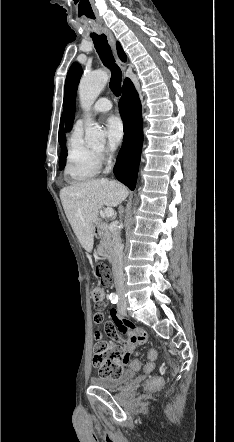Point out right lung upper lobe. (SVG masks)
<instances>
[{"label":"right lung upper lobe","mask_w":234,"mask_h":442,"mask_svg":"<svg viewBox=\"0 0 234 442\" xmlns=\"http://www.w3.org/2000/svg\"><path fill=\"white\" fill-rule=\"evenodd\" d=\"M117 52H118L120 59L122 61H126V54L124 53V51L119 43H117ZM59 143H60L61 147L65 146V136L63 134V121H62V119H61L60 128H59Z\"/></svg>","instance_id":"right-lung-upper-lobe-1"}]
</instances>
